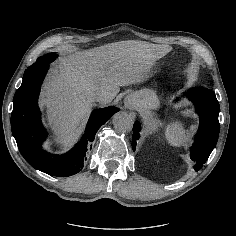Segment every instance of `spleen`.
<instances>
[{"label":"spleen","instance_id":"obj_1","mask_svg":"<svg viewBox=\"0 0 236 236\" xmlns=\"http://www.w3.org/2000/svg\"><path fill=\"white\" fill-rule=\"evenodd\" d=\"M165 137L169 144L177 147L184 145L188 140L187 136L185 135L182 123L179 121H175L167 126Z\"/></svg>","mask_w":236,"mask_h":236}]
</instances>
